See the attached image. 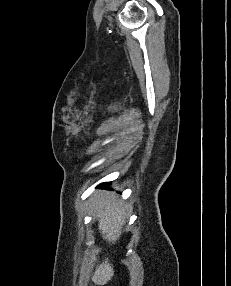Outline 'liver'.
Returning <instances> with one entry per match:
<instances>
[{"label":"liver","instance_id":"obj_1","mask_svg":"<svg viewBox=\"0 0 231 286\" xmlns=\"http://www.w3.org/2000/svg\"><path fill=\"white\" fill-rule=\"evenodd\" d=\"M94 210L99 219V231L104 240L115 244L119 240L122 228L128 218V208L117 200L116 195L102 192L95 195ZM114 275L112 264L105 259L95 270L92 280L105 285Z\"/></svg>","mask_w":231,"mask_h":286}]
</instances>
